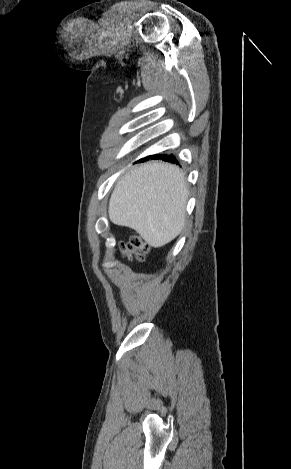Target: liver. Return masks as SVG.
Returning a JSON list of instances; mask_svg holds the SVG:
<instances>
[{
    "mask_svg": "<svg viewBox=\"0 0 291 469\" xmlns=\"http://www.w3.org/2000/svg\"><path fill=\"white\" fill-rule=\"evenodd\" d=\"M188 187L172 164L149 162L121 177L109 201V219L135 230L159 248L176 238L185 225Z\"/></svg>",
    "mask_w": 291,
    "mask_h": 469,
    "instance_id": "liver-1",
    "label": "liver"
}]
</instances>
